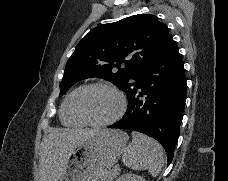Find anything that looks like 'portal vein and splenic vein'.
I'll return each instance as SVG.
<instances>
[{"mask_svg": "<svg viewBox=\"0 0 228 181\" xmlns=\"http://www.w3.org/2000/svg\"><path fill=\"white\" fill-rule=\"evenodd\" d=\"M113 168L116 169V173L117 174H120L121 173L122 167L119 166L118 164H114L113 165Z\"/></svg>", "mask_w": 228, "mask_h": 181, "instance_id": "1", "label": "portal vein and splenic vein"}]
</instances>
